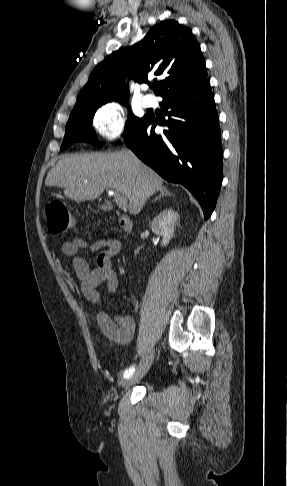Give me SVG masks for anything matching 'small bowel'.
Segmentation results:
<instances>
[{"instance_id":"small-bowel-1","label":"small bowel","mask_w":287,"mask_h":486,"mask_svg":"<svg viewBox=\"0 0 287 486\" xmlns=\"http://www.w3.org/2000/svg\"><path fill=\"white\" fill-rule=\"evenodd\" d=\"M121 242L117 239H100L88 242L79 237H72L61 245L65 256L72 258L74 273L81 281V290L91 303L101 301L99 286L105 284L108 291L115 292L118 287V277L113 268L112 259L121 251ZM80 250L99 252L97 267L90 268L86 259L79 255ZM98 324L103 334L118 344L129 343L135 333V322L131 316H113L107 311H100Z\"/></svg>"}]
</instances>
